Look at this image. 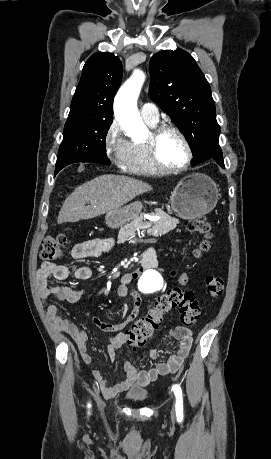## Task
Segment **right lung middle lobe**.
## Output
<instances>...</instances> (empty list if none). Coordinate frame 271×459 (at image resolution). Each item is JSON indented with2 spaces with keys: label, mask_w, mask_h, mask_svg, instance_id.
I'll return each instance as SVG.
<instances>
[{
  "label": "right lung middle lobe",
  "mask_w": 271,
  "mask_h": 459,
  "mask_svg": "<svg viewBox=\"0 0 271 459\" xmlns=\"http://www.w3.org/2000/svg\"><path fill=\"white\" fill-rule=\"evenodd\" d=\"M112 121L111 116H68L56 167L83 160L109 164L105 138Z\"/></svg>",
  "instance_id": "obj_1"
}]
</instances>
